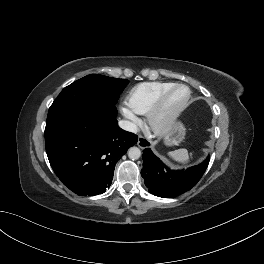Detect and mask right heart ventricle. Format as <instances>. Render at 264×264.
Segmentation results:
<instances>
[{
  "mask_svg": "<svg viewBox=\"0 0 264 264\" xmlns=\"http://www.w3.org/2000/svg\"><path fill=\"white\" fill-rule=\"evenodd\" d=\"M173 84L155 81L134 86L127 96L128 107L136 114H147L159 95Z\"/></svg>",
  "mask_w": 264,
  "mask_h": 264,
  "instance_id": "1",
  "label": "right heart ventricle"
}]
</instances>
